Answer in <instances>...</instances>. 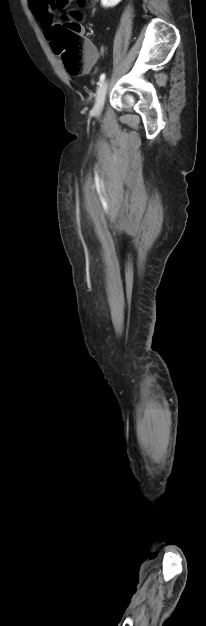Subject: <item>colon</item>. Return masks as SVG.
Masks as SVG:
<instances>
[{
    "label": "colon",
    "mask_w": 206,
    "mask_h": 626,
    "mask_svg": "<svg viewBox=\"0 0 206 626\" xmlns=\"http://www.w3.org/2000/svg\"><path fill=\"white\" fill-rule=\"evenodd\" d=\"M46 8L62 10L69 6L71 0H43ZM95 0H76L79 7H91ZM81 16L78 12L73 13V19L65 20L61 24L54 26L52 37V48L59 54L66 69L71 74H79L84 69V43L80 35Z\"/></svg>",
    "instance_id": "1"
}]
</instances>
